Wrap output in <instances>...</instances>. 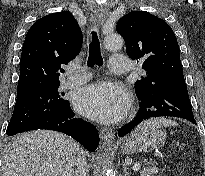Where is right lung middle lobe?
<instances>
[{
	"instance_id": "right-lung-middle-lobe-1",
	"label": "right lung middle lobe",
	"mask_w": 205,
	"mask_h": 176,
	"mask_svg": "<svg viewBox=\"0 0 205 176\" xmlns=\"http://www.w3.org/2000/svg\"><path fill=\"white\" fill-rule=\"evenodd\" d=\"M58 87L59 85L41 88L18 95L13 115L7 127V135L17 134L38 117L54 108L66 105L68 101L61 98Z\"/></svg>"
}]
</instances>
